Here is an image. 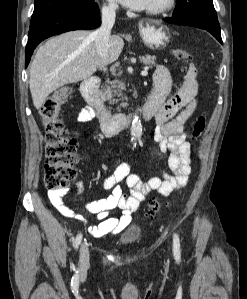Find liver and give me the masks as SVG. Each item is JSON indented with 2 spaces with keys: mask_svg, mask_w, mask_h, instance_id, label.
Wrapping results in <instances>:
<instances>
[{
  "mask_svg": "<svg viewBox=\"0 0 247 299\" xmlns=\"http://www.w3.org/2000/svg\"><path fill=\"white\" fill-rule=\"evenodd\" d=\"M124 47L118 35L110 36L107 64L118 59ZM99 68L93 32L70 31L42 45L31 64L29 87L33 104L40 109L56 89L91 77Z\"/></svg>",
  "mask_w": 247,
  "mask_h": 299,
  "instance_id": "obj_1",
  "label": "liver"
}]
</instances>
